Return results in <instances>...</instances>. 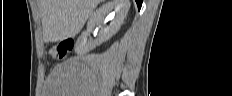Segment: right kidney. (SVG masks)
<instances>
[{
  "mask_svg": "<svg viewBox=\"0 0 232 96\" xmlns=\"http://www.w3.org/2000/svg\"><path fill=\"white\" fill-rule=\"evenodd\" d=\"M129 8V0H110L92 13L87 23V30L79 36L75 44V51L77 54L83 56L115 35L123 24ZM107 14L111 20L110 24L101 29L96 40L87 41L96 23L104 19Z\"/></svg>",
  "mask_w": 232,
  "mask_h": 96,
  "instance_id": "ca27d5eb",
  "label": "right kidney"
}]
</instances>
